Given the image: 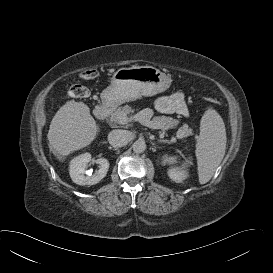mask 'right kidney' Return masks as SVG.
<instances>
[{"instance_id": "obj_1", "label": "right kidney", "mask_w": 273, "mask_h": 273, "mask_svg": "<svg viewBox=\"0 0 273 273\" xmlns=\"http://www.w3.org/2000/svg\"><path fill=\"white\" fill-rule=\"evenodd\" d=\"M91 158L90 153H84L71 160L69 174L74 183L78 185H94L106 176L109 169V161L106 158L95 160L100 165L98 171L94 173L91 170L86 171L88 163L92 160Z\"/></svg>"}]
</instances>
